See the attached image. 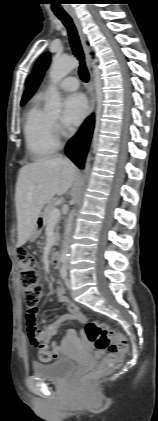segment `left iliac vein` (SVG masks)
<instances>
[{"mask_svg":"<svg viewBox=\"0 0 158 421\" xmlns=\"http://www.w3.org/2000/svg\"><path fill=\"white\" fill-rule=\"evenodd\" d=\"M65 284H66V287H67L68 289H70V288H71V280H70L69 278H67V279H66Z\"/></svg>","mask_w":158,"mask_h":421,"instance_id":"1","label":"left iliac vein"}]
</instances>
